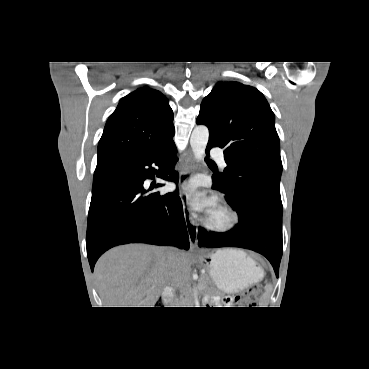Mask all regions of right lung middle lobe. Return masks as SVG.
Wrapping results in <instances>:
<instances>
[{
  "label": "right lung middle lobe",
  "instance_id": "dd1d6c3e",
  "mask_svg": "<svg viewBox=\"0 0 369 369\" xmlns=\"http://www.w3.org/2000/svg\"><path fill=\"white\" fill-rule=\"evenodd\" d=\"M112 164L113 163L97 164L94 176L104 172L107 169H109Z\"/></svg>",
  "mask_w": 369,
  "mask_h": 369
}]
</instances>
